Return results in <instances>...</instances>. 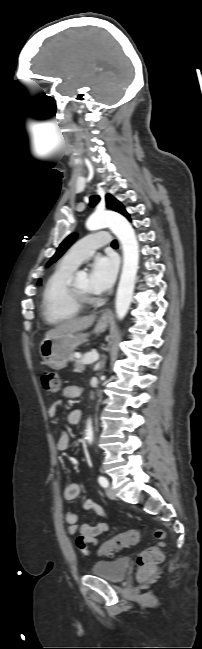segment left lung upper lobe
I'll return each instance as SVG.
<instances>
[{"label":"left lung upper lobe","instance_id":"5c2ea615","mask_svg":"<svg viewBox=\"0 0 202 649\" xmlns=\"http://www.w3.org/2000/svg\"><path fill=\"white\" fill-rule=\"evenodd\" d=\"M100 200L99 196H92L90 198V206L93 207L98 201ZM106 207L109 209H112L116 212L121 213L122 215L126 216L127 218L129 217V214L125 211L124 206L116 200L112 195L107 194L106 195ZM76 238L75 234H72L68 236L59 246L57 249L55 255L50 259L47 265L52 264L55 262L65 251L66 249L74 242V239ZM38 284L41 285V280L38 281Z\"/></svg>","mask_w":202,"mask_h":649}]
</instances>
